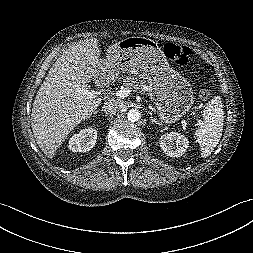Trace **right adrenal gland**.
Instances as JSON below:
<instances>
[{
  "mask_svg": "<svg viewBox=\"0 0 253 253\" xmlns=\"http://www.w3.org/2000/svg\"><path fill=\"white\" fill-rule=\"evenodd\" d=\"M98 112H99V111H96V112L94 113V115H96Z\"/></svg>",
  "mask_w": 253,
  "mask_h": 253,
  "instance_id": "right-adrenal-gland-1",
  "label": "right adrenal gland"
}]
</instances>
